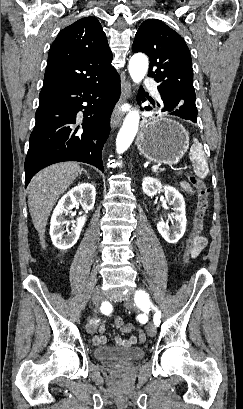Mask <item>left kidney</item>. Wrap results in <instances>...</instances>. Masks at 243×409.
Returning <instances> with one entry per match:
<instances>
[{
    "label": "left kidney",
    "mask_w": 243,
    "mask_h": 409,
    "mask_svg": "<svg viewBox=\"0 0 243 409\" xmlns=\"http://www.w3.org/2000/svg\"><path fill=\"white\" fill-rule=\"evenodd\" d=\"M162 188H164L166 200L170 205H173L174 213L171 215V220H174L175 224L170 228L168 223L159 221L157 229L168 243H176L182 238L186 230L187 220L183 196L172 186L163 187L161 182L155 178L145 177L143 179L142 189L147 196H154Z\"/></svg>",
    "instance_id": "5707ae66"
}]
</instances>
